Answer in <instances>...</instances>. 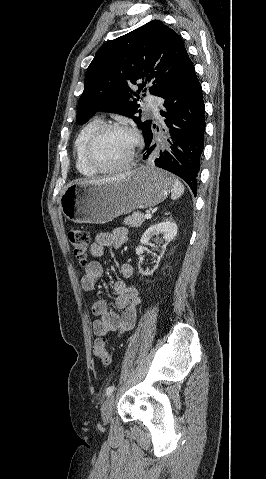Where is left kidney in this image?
<instances>
[{
	"mask_svg": "<svg viewBox=\"0 0 266 479\" xmlns=\"http://www.w3.org/2000/svg\"><path fill=\"white\" fill-rule=\"evenodd\" d=\"M177 230H178L177 225L171 221H164L149 227L141 237V240H140L141 245H139L136 248L137 255H141L144 252L145 248L143 247V245L147 244L153 236H157L160 233L163 234V238L165 240V244L162 246L163 248L162 254H164L168 243L176 237ZM159 261H160V257L157 260L156 266L152 270L144 271L139 264V272L144 276L152 275L154 271L158 268Z\"/></svg>",
	"mask_w": 266,
	"mask_h": 479,
	"instance_id": "left-kidney-1",
	"label": "left kidney"
}]
</instances>
